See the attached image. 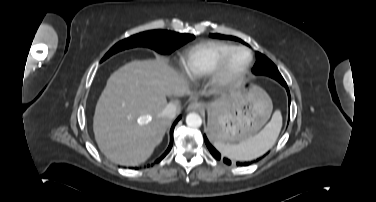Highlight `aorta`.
Listing matches in <instances>:
<instances>
[{"mask_svg":"<svg viewBox=\"0 0 376 202\" xmlns=\"http://www.w3.org/2000/svg\"><path fill=\"white\" fill-rule=\"evenodd\" d=\"M186 124L191 128H198L202 125V118L199 114L192 112L186 116Z\"/></svg>","mask_w":376,"mask_h":202,"instance_id":"aorta-1","label":"aorta"}]
</instances>
